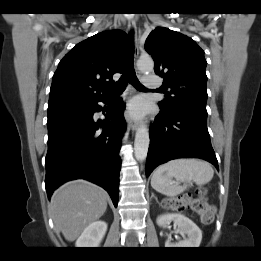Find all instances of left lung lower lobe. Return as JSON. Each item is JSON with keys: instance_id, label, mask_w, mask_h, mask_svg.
Here are the masks:
<instances>
[{"instance_id": "1", "label": "left lung lower lobe", "mask_w": 261, "mask_h": 261, "mask_svg": "<svg viewBox=\"0 0 261 261\" xmlns=\"http://www.w3.org/2000/svg\"><path fill=\"white\" fill-rule=\"evenodd\" d=\"M146 176L160 164L177 158H201L218 169L207 129V113L187 105L161 110L150 128Z\"/></svg>"}]
</instances>
